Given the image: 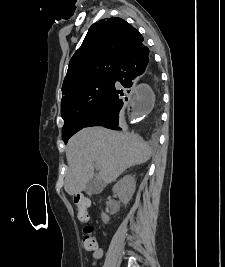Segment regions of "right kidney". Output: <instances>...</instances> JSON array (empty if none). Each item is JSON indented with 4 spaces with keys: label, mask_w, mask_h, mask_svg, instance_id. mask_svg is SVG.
I'll return each mask as SVG.
<instances>
[{
    "label": "right kidney",
    "mask_w": 225,
    "mask_h": 267,
    "mask_svg": "<svg viewBox=\"0 0 225 267\" xmlns=\"http://www.w3.org/2000/svg\"><path fill=\"white\" fill-rule=\"evenodd\" d=\"M135 187V178L132 175H126L113 186L112 191L118 195L124 205H127L135 192ZM101 216L103 222L107 224L110 220L109 216L105 213H102Z\"/></svg>",
    "instance_id": "ca27d5eb"
}]
</instances>
